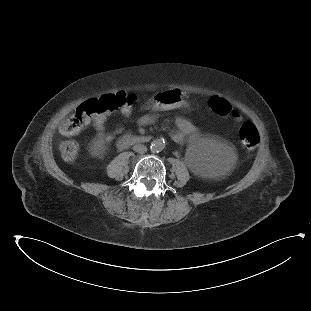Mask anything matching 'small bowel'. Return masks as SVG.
Listing matches in <instances>:
<instances>
[{
	"instance_id": "1",
	"label": "small bowel",
	"mask_w": 311,
	"mask_h": 311,
	"mask_svg": "<svg viewBox=\"0 0 311 311\" xmlns=\"http://www.w3.org/2000/svg\"><path fill=\"white\" fill-rule=\"evenodd\" d=\"M158 118L156 112H149L141 115L138 118V123L142 126L153 124ZM108 116L106 113L98 114L93 119V125L97 132V135L105 142L112 141L116 132L106 131V122ZM177 130L173 134V139L178 143H192L198 141L201 138L200 130L187 118L177 116L176 119Z\"/></svg>"
}]
</instances>
